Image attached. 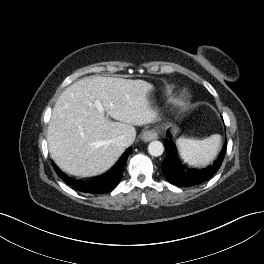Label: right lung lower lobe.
Listing matches in <instances>:
<instances>
[{"label":"right lung lower lobe","mask_w":264,"mask_h":264,"mask_svg":"<svg viewBox=\"0 0 264 264\" xmlns=\"http://www.w3.org/2000/svg\"><path fill=\"white\" fill-rule=\"evenodd\" d=\"M130 151L131 148H129L123 154V156L120 158L118 163L108 173H106L105 175L99 178L92 179L91 181H87V182L68 178L56 166L54 168L58 176L62 178L66 183H68L74 189L85 193L104 194L112 191L120 182L122 177V172L124 169V164Z\"/></svg>","instance_id":"obj_1"}]
</instances>
